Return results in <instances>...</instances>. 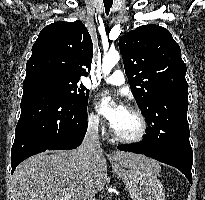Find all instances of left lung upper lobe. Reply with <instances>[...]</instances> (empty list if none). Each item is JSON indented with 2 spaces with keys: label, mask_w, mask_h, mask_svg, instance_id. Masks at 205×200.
Wrapping results in <instances>:
<instances>
[{
  "label": "left lung upper lobe",
  "mask_w": 205,
  "mask_h": 200,
  "mask_svg": "<svg viewBox=\"0 0 205 200\" xmlns=\"http://www.w3.org/2000/svg\"><path fill=\"white\" fill-rule=\"evenodd\" d=\"M119 48L130 88L149 128L157 115L166 114V110H155L158 96L179 90L188 92L180 47L167 29L151 24L122 36Z\"/></svg>",
  "instance_id": "1"
}]
</instances>
